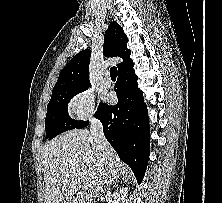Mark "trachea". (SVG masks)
Listing matches in <instances>:
<instances>
[{"instance_id": "3493384b", "label": "trachea", "mask_w": 222, "mask_h": 203, "mask_svg": "<svg viewBox=\"0 0 222 203\" xmlns=\"http://www.w3.org/2000/svg\"><path fill=\"white\" fill-rule=\"evenodd\" d=\"M116 76H117V68L116 67H112L111 69H110V77H111V79H116Z\"/></svg>"}]
</instances>
